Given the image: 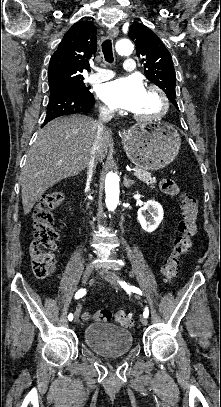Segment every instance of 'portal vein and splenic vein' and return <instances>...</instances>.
<instances>
[{"label": "portal vein and splenic vein", "mask_w": 221, "mask_h": 407, "mask_svg": "<svg viewBox=\"0 0 221 407\" xmlns=\"http://www.w3.org/2000/svg\"><path fill=\"white\" fill-rule=\"evenodd\" d=\"M135 176H137L138 175V173L135 171L134 173H133Z\"/></svg>", "instance_id": "18ae733b"}]
</instances>
